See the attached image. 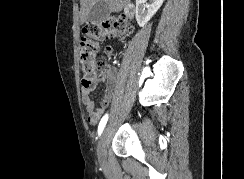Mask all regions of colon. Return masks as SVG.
Returning a JSON list of instances; mask_svg holds the SVG:
<instances>
[{
	"label": "colon",
	"mask_w": 244,
	"mask_h": 179,
	"mask_svg": "<svg viewBox=\"0 0 244 179\" xmlns=\"http://www.w3.org/2000/svg\"><path fill=\"white\" fill-rule=\"evenodd\" d=\"M126 22L112 18L99 22V26L85 24L81 29V41L78 45L80 55V69L83 74L82 85L88 90H94L100 82L107 68L106 60L98 55L99 44L104 36L117 34L126 29ZM112 49L107 48V53Z\"/></svg>",
	"instance_id": "5ec220e1"
}]
</instances>
